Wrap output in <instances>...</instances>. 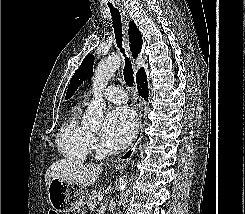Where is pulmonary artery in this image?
<instances>
[{
    "mask_svg": "<svg viewBox=\"0 0 245 214\" xmlns=\"http://www.w3.org/2000/svg\"><path fill=\"white\" fill-rule=\"evenodd\" d=\"M102 96L105 100L116 104L124 103L127 100V94L125 93V91L122 88L116 86H109L108 88H106ZM88 100L89 99H86L85 102H87Z\"/></svg>",
    "mask_w": 245,
    "mask_h": 214,
    "instance_id": "pulmonary-artery-1",
    "label": "pulmonary artery"
}]
</instances>
